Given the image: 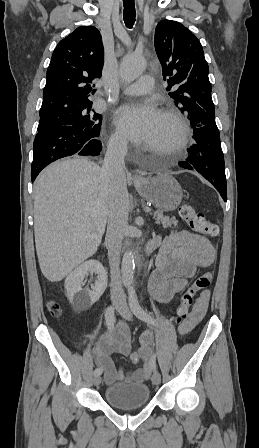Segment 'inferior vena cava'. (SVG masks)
Segmentation results:
<instances>
[{
    "label": "inferior vena cava",
    "instance_id": "1",
    "mask_svg": "<svg viewBox=\"0 0 259 448\" xmlns=\"http://www.w3.org/2000/svg\"><path fill=\"white\" fill-rule=\"evenodd\" d=\"M126 152V140H122L119 136L111 138L100 176V182L102 186H106L109 196L105 246L108 250L111 274V300L124 308H127V304L122 290L119 264L122 240L128 230L129 198L124 172Z\"/></svg>",
    "mask_w": 259,
    "mask_h": 448
}]
</instances>
